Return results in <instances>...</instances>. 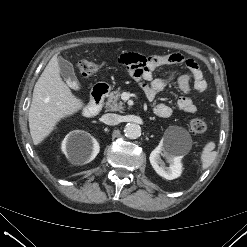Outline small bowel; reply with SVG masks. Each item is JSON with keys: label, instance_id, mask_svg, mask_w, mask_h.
Segmentation results:
<instances>
[{"label": "small bowel", "instance_id": "small-bowel-1", "mask_svg": "<svg viewBox=\"0 0 247 247\" xmlns=\"http://www.w3.org/2000/svg\"><path fill=\"white\" fill-rule=\"evenodd\" d=\"M119 62L124 65L128 73L140 83L149 100H153L173 78V74L165 78H155L154 72L161 67L185 64L190 73L182 74L177 78L178 87L184 93V96H181L177 100V106L186 113L196 112L197 108L190 96L191 82H193L194 90L198 93L205 91L207 83L195 60L185 58L180 53L151 55L148 57L136 53H126L120 56ZM154 113L158 117L168 118L172 114V109L164 103H158L154 107Z\"/></svg>", "mask_w": 247, "mask_h": 247}]
</instances>
